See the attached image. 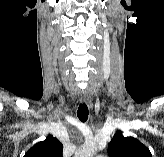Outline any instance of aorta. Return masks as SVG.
Returning a JSON list of instances; mask_svg holds the SVG:
<instances>
[{
  "label": "aorta",
  "mask_w": 164,
  "mask_h": 157,
  "mask_svg": "<svg viewBox=\"0 0 164 157\" xmlns=\"http://www.w3.org/2000/svg\"><path fill=\"white\" fill-rule=\"evenodd\" d=\"M95 151L96 145L94 143L84 144L75 154V157H93Z\"/></svg>",
  "instance_id": "1"
}]
</instances>
